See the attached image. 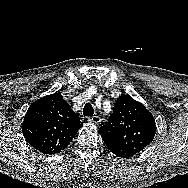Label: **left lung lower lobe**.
<instances>
[{
  "mask_svg": "<svg viewBox=\"0 0 188 188\" xmlns=\"http://www.w3.org/2000/svg\"><path fill=\"white\" fill-rule=\"evenodd\" d=\"M107 147H108V148L111 150V152H113L116 156H118V157H125V156L119 154L115 149H113V148H111V147H109V146H107Z\"/></svg>",
  "mask_w": 188,
  "mask_h": 188,
  "instance_id": "1",
  "label": "left lung lower lobe"
}]
</instances>
